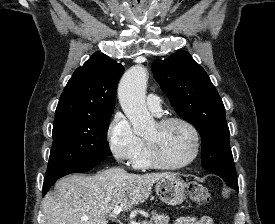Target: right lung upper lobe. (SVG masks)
<instances>
[{"instance_id": "1", "label": "right lung upper lobe", "mask_w": 275, "mask_h": 224, "mask_svg": "<svg viewBox=\"0 0 275 224\" xmlns=\"http://www.w3.org/2000/svg\"><path fill=\"white\" fill-rule=\"evenodd\" d=\"M124 67L103 53L93 54L68 81L55 119L112 115Z\"/></svg>"}]
</instances>
